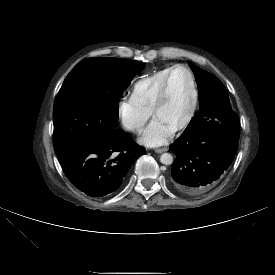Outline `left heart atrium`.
I'll return each mask as SVG.
<instances>
[{
  "label": "left heart atrium",
  "mask_w": 275,
  "mask_h": 275,
  "mask_svg": "<svg viewBox=\"0 0 275 275\" xmlns=\"http://www.w3.org/2000/svg\"><path fill=\"white\" fill-rule=\"evenodd\" d=\"M173 132L174 128L162 119L155 117L143 130L139 142L149 147L160 146L168 142Z\"/></svg>",
  "instance_id": "39dd6f15"
}]
</instances>
